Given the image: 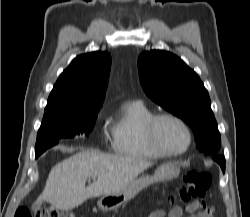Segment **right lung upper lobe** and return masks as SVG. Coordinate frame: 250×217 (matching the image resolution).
<instances>
[{
	"label": "right lung upper lobe",
	"mask_w": 250,
	"mask_h": 217,
	"mask_svg": "<svg viewBox=\"0 0 250 217\" xmlns=\"http://www.w3.org/2000/svg\"><path fill=\"white\" fill-rule=\"evenodd\" d=\"M111 57L95 51L77 56L55 83L44 117L100 109L108 83Z\"/></svg>",
	"instance_id": "obj_1"
}]
</instances>
